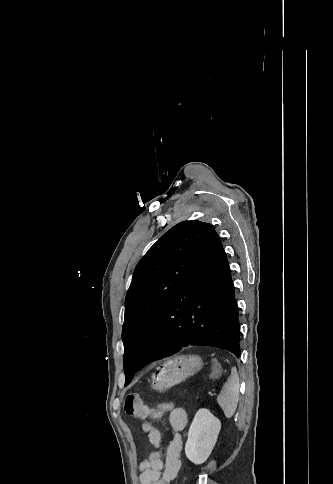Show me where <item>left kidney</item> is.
<instances>
[{
  "instance_id": "left-kidney-1",
  "label": "left kidney",
  "mask_w": 333,
  "mask_h": 484,
  "mask_svg": "<svg viewBox=\"0 0 333 484\" xmlns=\"http://www.w3.org/2000/svg\"><path fill=\"white\" fill-rule=\"evenodd\" d=\"M221 422L209 410L199 409L189 428L185 445V454L194 464L204 463L210 456L218 434Z\"/></svg>"
}]
</instances>
